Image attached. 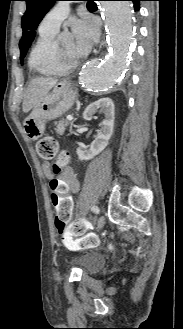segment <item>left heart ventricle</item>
Wrapping results in <instances>:
<instances>
[{"mask_svg":"<svg viewBox=\"0 0 183 329\" xmlns=\"http://www.w3.org/2000/svg\"><path fill=\"white\" fill-rule=\"evenodd\" d=\"M61 51L63 52L67 62H73L82 57L84 54L79 52L73 40H69L60 46Z\"/></svg>","mask_w":183,"mask_h":329,"instance_id":"b2bd125f","label":"left heart ventricle"}]
</instances>
